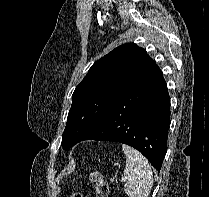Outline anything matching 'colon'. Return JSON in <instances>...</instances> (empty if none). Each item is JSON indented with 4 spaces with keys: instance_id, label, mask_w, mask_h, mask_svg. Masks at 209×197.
Wrapping results in <instances>:
<instances>
[{
    "instance_id": "1",
    "label": "colon",
    "mask_w": 209,
    "mask_h": 197,
    "mask_svg": "<svg viewBox=\"0 0 209 197\" xmlns=\"http://www.w3.org/2000/svg\"><path fill=\"white\" fill-rule=\"evenodd\" d=\"M89 179L98 195L104 196L108 193V184L102 174L98 172L91 173ZM72 197H82V195L75 193Z\"/></svg>"
}]
</instances>
